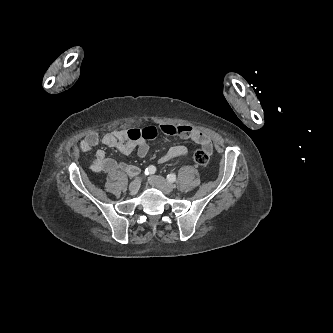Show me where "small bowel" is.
<instances>
[{
	"mask_svg": "<svg viewBox=\"0 0 333 333\" xmlns=\"http://www.w3.org/2000/svg\"><path fill=\"white\" fill-rule=\"evenodd\" d=\"M169 136H177L189 138L202 146V149L209 155L213 152V145L210 136L189 125H171L161 124L158 126H149L142 129H120L105 133L101 138L97 133L88 134L81 142L80 148L83 151H89L99 143L104 144L109 148H114L122 154L128 155L136 151L139 157H145L149 152V146L146 142L148 139H153L158 134ZM186 155V149L183 146L172 147L159 162H167L173 158L183 157ZM95 170H104L108 173L114 172L118 168L130 171V168L125 165H118L114 160L108 159L103 150H98L95 154L93 163Z\"/></svg>",
	"mask_w": 333,
	"mask_h": 333,
	"instance_id": "1",
	"label": "small bowel"
}]
</instances>
